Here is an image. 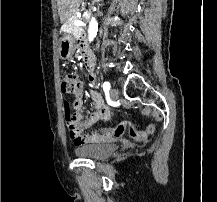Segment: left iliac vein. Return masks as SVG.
Returning <instances> with one entry per match:
<instances>
[{
    "label": "left iliac vein",
    "instance_id": "1",
    "mask_svg": "<svg viewBox=\"0 0 217 202\" xmlns=\"http://www.w3.org/2000/svg\"><path fill=\"white\" fill-rule=\"evenodd\" d=\"M110 96L113 100H117L119 97V91L116 88L110 90Z\"/></svg>",
    "mask_w": 217,
    "mask_h": 202
}]
</instances>
